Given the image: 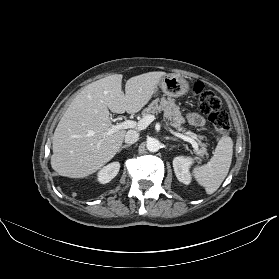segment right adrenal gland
Returning a JSON list of instances; mask_svg holds the SVG:
<instances>
[{
    "label": "right adrenal gland",
    "mask_w": 279,
    "mask_h": 279,
    "mask_svg": "<svg viewBox=\"0 0 279 279\" xmlns=\"http://www.w3.org/2000/svg\"><path fill=\"white\" fill-rule=\"evenodd\" d=\"M128 147H130V145H123V146H121V148L118 150V153H120L123 149H126Z\"/></svg>",
    "instance_id": "obj_1"
}]
</instances>
